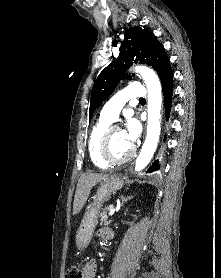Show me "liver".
Returning a JSON list of instances; mask_svg holds the SVG:
<instances>
[{
  "mask_svg": "<svg viewBox=\"0 0 221 278\" xmlns=\"http://www.w3.org/2000/svg\"><path fill=\"white\" fill-rule=\"evenodd\" d=\"M102 173H84L78 180L73 203V215L78 214L85 205L93 186L108 177Z\"/></svg>",
  "mask_w": 221,
  "mask_h": 278,
  "instance_id": "6515ba94",
  "label": "liver"
}]
</instances>
